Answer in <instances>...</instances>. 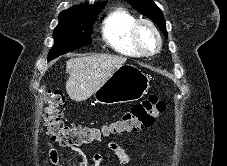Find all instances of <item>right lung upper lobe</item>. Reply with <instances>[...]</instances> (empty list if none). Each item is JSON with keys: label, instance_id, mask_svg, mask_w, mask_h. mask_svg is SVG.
I'll return each mask as SVG.
<instances>
[{"label": "right lung upper lobe", "instance_id": "cb5924a9", "mask_svg": "<svg viewBox=\"0 0 227 166\" xmlns=\"http://www.w3.org/2000/svg\"><path fill=\"white\" fill-rule=\"evenodd\" d=\"M100 5H104V4L96 3L93 6H89L88 4H82L80 6H74L73 8L64 10V11L61 12V14L79 13V12H83L85 10H89V9L99 7Z\"/></svg>", "mask_w": 227, "mask_h": 166}]
</instances>
